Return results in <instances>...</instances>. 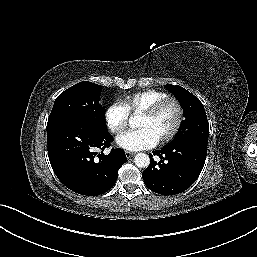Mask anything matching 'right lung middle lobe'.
I'll return each mask as SVG.
<instances>
[{"instance_id":"dd1d6c3e","label":"right lung middle lobe","mask_w":257,"mask_h":257,"mask_svg":"<svg viewBox=\"0 0 257 257\" xmlns=\"http://www.w3.org/2000/svg\"><path fill=\"white\" fill-rule=\"evenodd\" d=\"M102 87L82 81L62 92L55 100L48 123L62 119L81 120L107 132L104 108L99 104Z\"/></svg>"}]
</instances>
